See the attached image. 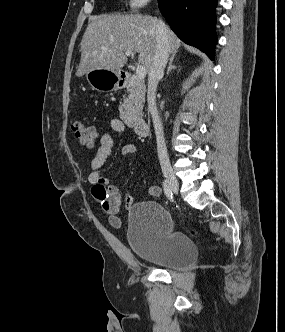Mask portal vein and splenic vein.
Returning a JSON list of instances; mask_svg holds the SVG:
<instances>
[{
  "instance_id": "portal-vein-and-splenic-vein-1",
  "label": "portal vein and splenic vein",
  "mask_w": 285,
  "mask_h": 332,
  "mask_svg": "<svg viewBox=\"0 0 285 332\" xmlns=\"http://www.w3.org/2000/svg\"><path fill=\"white\" fill-rule=\"evenodd\" d=\"M125 54L127 56L133 55L132 51H126ZM146 75V70L143 65H138L136 68V76L139 80H143Z\"/></svg>"
}]
</instances>
